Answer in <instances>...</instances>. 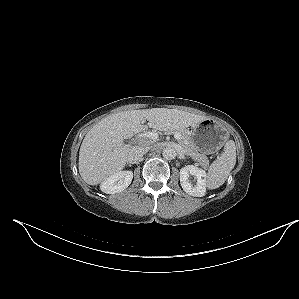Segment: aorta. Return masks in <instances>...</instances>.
<instances>
[{
	"mask_svg": "<svg viewBox=\"0 0 299 299\" xmlns=\"http://www.w3.org/2000/svg\"><path fill=\"white\" fill-rule=\"evenodd\" d=\"M163 157L166 159V160H173L175 157H176V150L173 148V147H166L164 150H163Z\"/></svg>",
	"mask_w": 299,
	"mask_h": 299,
	"instance_id": "762f6f07",
	"label": "aorta"
}]
</instances>
